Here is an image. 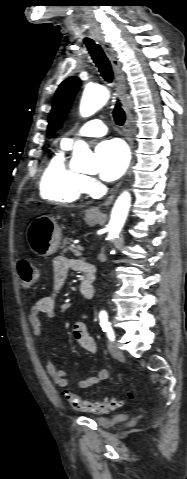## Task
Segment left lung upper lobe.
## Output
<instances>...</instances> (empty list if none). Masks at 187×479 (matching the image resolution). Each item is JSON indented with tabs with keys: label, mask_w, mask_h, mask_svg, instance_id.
Here are the masks:
<instances>
[{
	"label": "left lung upper lobe",
	"mask_w": 187,
	"mask_h": 479,
	"mask_svg": "<svg viewBox=\"0 0 187 479\" xmlns=\"http://www.w3.org/2000/svg\"><path fill=\"white\" fill-rule=\"evenodd\" d=\"M79 85V78L74 76L66 79L59 86L53 100L52 110L49 113L48 137L52 136L59 124L66 117Z\"/></svg>",
	"instance_id": "1"
}]
</instances>
